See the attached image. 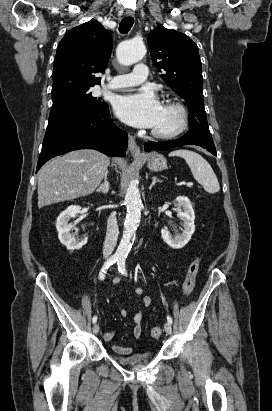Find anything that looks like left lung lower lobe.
Masks as SVG:
<instances>
[{
  "mask_svg": "<svg viewBox=\"0 0 272 411\" xmlns=\"http://www.w3.org/2000/svg\"><path fill=\"white\" fill-rule=\"evenodd\" d=\"M188 144H194V145L200 146L208 150L213 155H217L211 133L209 129H205V128H197V129L189 130L181 138L172 140V141H166V142L148 141L145 144V151L146 152H149L152 150L160 151V150H164V149H168V148H172V147H176L180 145H188Z\"/></svg>",
  "mask_w": 272,
  "mask_h": 411,
  "instance_id": "left-lung-lower-lobe-1",
  "label": "left lung lower lobe"
}]
</instances>
